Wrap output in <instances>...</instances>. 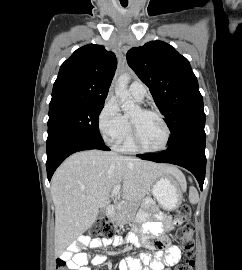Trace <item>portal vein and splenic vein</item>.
Instances as JSON below:
<instances>
[{
	"mask_svg": "<svg viewBox=\"0 0 242 270\" xmlns=\"http://www.w3.org/2000/svg\"><path fill=\"white\" fill-rule=\"evenodd\" d=\"M120 189H121L120 185L115 186L113 191H112V196L116 197L117 194L119 193Z\"/></svg>",
	"mask_w": 242,
	"mask_h": 270,
	"instance_id": "1",
	"label": "portal vein and splenic vein"
}]
</instances>
